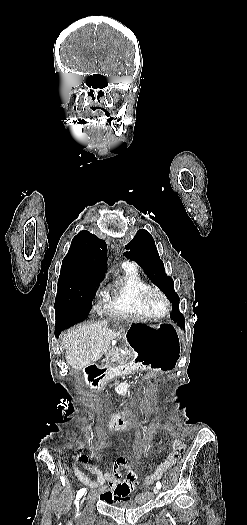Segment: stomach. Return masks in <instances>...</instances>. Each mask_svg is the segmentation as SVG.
Listing matches in <instances>:
<instances>
[{
    "label": "stomach",
    "mask_w": 247,
    "mask_h": 525,
    "mask_svg": "<svg viewBox=\"0 0 247 525\" xmlns=\"http://www.w3.org/2000/svg\"><path fill=\"white\" fill-rule=\"evenodd\" d=\"M126 339L138 352L136 360L143 368L170 371L181 354L182 332L173 325L133 323Z\"/></svg>",
    "instance_id": "stomach-1"
}]
</instances>
